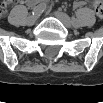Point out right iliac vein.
<instances>
[{
    "label": "right iliac vein",
    "instance_id": "1",
    "mask_svg": "<svg viewBox=\"0 0 103 103\" xmlns=\"http://www.w3.org/2000/svg\"><path fill=\"white\" fill-rule=\"evenodd\" d=\"M36 21H37V16L32 15L27 19V24L32 26L36 23Z\"/></svg>",
    "mask_w": 103,
    "mask_h": 103
}]
</instances>
